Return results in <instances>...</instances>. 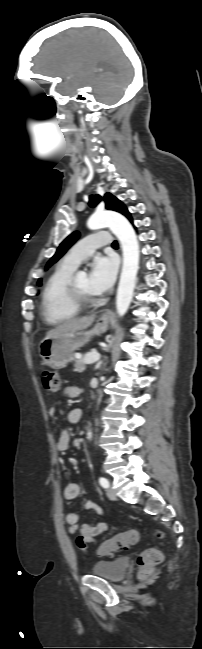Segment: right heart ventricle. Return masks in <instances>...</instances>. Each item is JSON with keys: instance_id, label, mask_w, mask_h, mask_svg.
Segmentation results:
<instances>
[{"instance_id": "obj_1", "label": "right heart ventricle", "mask_w": 202, "mask_h": 649, "mask_svg": "<svg viewBox=\"0 0 202 649\" xmlns=\"http://www.w3.org/2000/svg\"><path fill=\"white\" fill-rule=\"evenodd\" d=\"M76 268L60 263L48 278L42 292V314L44 319L56 325L73 319L80 313L69 298L67 287Z\"/></svg>"}]
</instances>
